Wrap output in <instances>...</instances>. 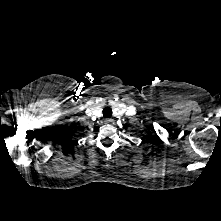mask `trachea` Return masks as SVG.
Returning <instances> with one entry per match:
<instances>
[{
    "instance_id": "obj_1",
    "label": "trachea",
    "mask_w": 221,
    "mask_h": 221,
    "mask_svg": "<svg viewBox=\"0 0 221 221\" xmlns=\"http://www.w3.org/2000/svg\"><path fill=\"white\" fill-rule=\"evenodd\" d=\"M103 116L110 118L112 116V109L110 107H105L103 109Z\"/></svg>"
}]
</instances>
